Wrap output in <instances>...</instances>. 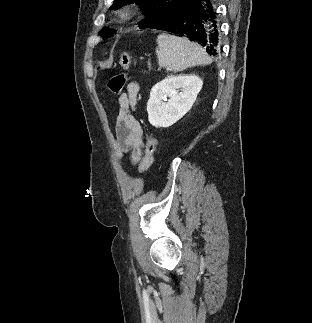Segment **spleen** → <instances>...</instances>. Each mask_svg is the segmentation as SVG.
Returning a JSON list of instances; mask_svg holds the SVG:
<instances>
[{"label":"spleen","mask_w":312,"mask_h":323,"mask_svg":"<svg viewBox=\"0 0 312 323\" xmlns=\"http://www.w3.org/2000/svg\"><path fill=\"white\" fill-rule=\"evenodd\" d=\"M156 42L158 44L156 56L161 68H172L175 72H183L186 68L203 66V64L206 66L212 62L205 50L199 44L189 42L188 38L159 34Z\"/></svg>","instance_id":"3e777b00"}]
</instances>
